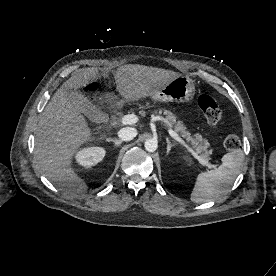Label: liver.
<instances>
[{
    "mask_svg": "<svg viewBox=\"0 0 276 276\" xmlns=\"http://www.w3.org/2000/svg\"><path fill=\"white\" fill-rule=\"evenodd\" d=\"M178 76L174 71L137 64L121 66L114 75L117 91L126 102L147 98ZM99 78L98 71L90 70L64 82L41 114L35 133L34 153L40 170L56 186L73 193L85 192L87 185L76 174L72 159L81 146L95 139L68 91Z\"/></svg>",
    "mask_w": 276,
    "mask_h": 276,
    "instance_id": "liver-1",
    "label": "liver"
}]
</instances>
